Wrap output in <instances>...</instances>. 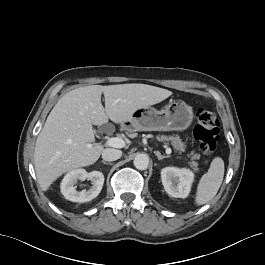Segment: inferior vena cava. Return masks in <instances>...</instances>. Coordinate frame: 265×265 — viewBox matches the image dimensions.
<instances>
[{"instance_id":"obj_1","label":"inferior vena cava","mask_w":265,"mask_h":265,"mask_svg":"<svg viewBox=\"0 0 265 265\" xmlns=\"http://www.w3.org/2000/svg\"><path fill=\"white\" fill-rule=\"evenodd\" d=\"M122 156V151L118 149L107 148L102 152V159L105 161H115Z\"/></svg>"}]
</instances>
